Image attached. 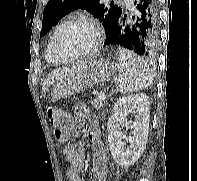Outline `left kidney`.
Listing matches in <instances>:
<instances>
[{
	"label": "left kidney",
	"mask_w": 197,
	"mask_h": 181,
	"mask_svg": "<svg viewBox=\"0 0 197 181\" xmlns=\"http://www.w3.org/2000/svg\"><path fill=\"white\" fill-rule=\"evenodd\" d=\"M150 102L145 94H133L120 98L113 106V115L107 123L108 143L115 162L122 167L133 165L142 155L149 131ZM128 113H135V119L128 121ZM121 126L132 130V136L126 137ZM126 139L129 146L122 140Z\"/></svg>",
	"instance_id": "left-kidney-1"
}]
</instances>
